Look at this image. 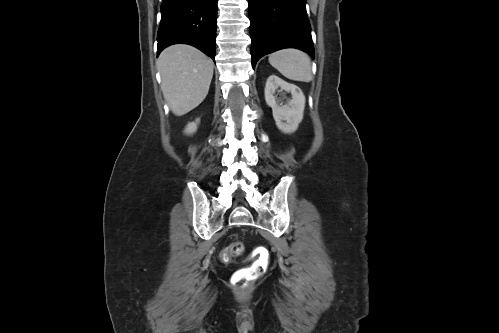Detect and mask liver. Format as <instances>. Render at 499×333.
<instances>
[{"mask_svg": "<svg viewBox=\"0 0 499 333\" xmlns=\"http://www.w3.org/2000/svg\"><path fill=\"white\" fill-rule=\"evenodd\" d=\"M157 67L164 98L175 115H185L207 96L214 64L198 49L185 44L167 47L160 54Z\"/></svg>", "mask_w": 499, "mask_h": 333, "instance_id": "1", "label": "liver"}]
</instances>
